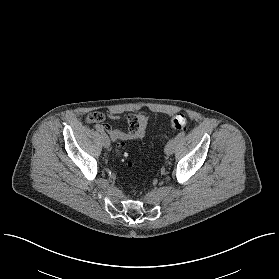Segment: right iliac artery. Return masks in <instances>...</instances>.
Instances as JSON below:
<instances>
[{
  "mask_svg": "<svg viewBox=\"0 0 279 279\" xmlns=\"http://www.w3.org/2000/svg\"><path fill=\"white\" fill-rule=\"evenodd\" d=\"M95 129L97 131H99L102 135H106V133L103 131V129L101 128V126L99 124L95 125Z\"/></svg>",
  "mask_w": 279,
  "mask_h": 279,
  "instance_id": "1",
  "label": "right iliac artery"
}]
</instances>
